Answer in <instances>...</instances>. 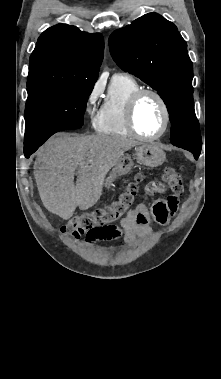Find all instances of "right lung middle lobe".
<instances>
[{"instance_id": "dd1d6c3e", "label": "right lung middle lobe", "mask_w": 221, "mask_h": 379, "mask_svg": "<svg viewBox=\"0 0 221 379\" xmlns=\"http://www.w3.org/2000/svg\"><path fill=\"white\" fill-rule=\"evenodd\" d=\"M93 83H76L28 94L24 143H44L58 131L83 125Z\"/></svg>"}]
</instances>
